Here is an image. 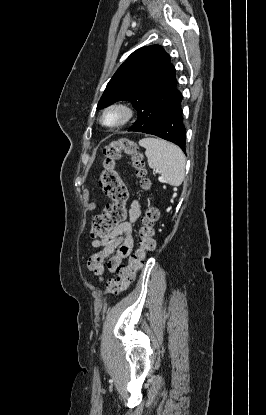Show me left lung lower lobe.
Returning a JSON list of instances; mask_svg holds the SVG:
<instances>
[{
  "mask_svg": "<svg viewBox=\"0 0 266 415\" xmlns=\"http://www.w3.org/2000/svg\"><path fill=\"white\" fill-rule=\"evenodd\" d=\"M181 102L182 95L162 120L143 132L173 142L186 152V129L183 124Z\"/></svg>",
  "mask_w": 266,
  "mask_h": 415,
  "instance_id": "obj_1",
  "label": "left lung lower lobe"
}]
</instances>
